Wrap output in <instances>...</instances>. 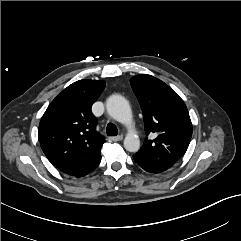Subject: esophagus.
<instances>
[{"instance_id": "34e87169", "label": "esophagus", "mask_w": 241, "mask_h": 241, "mask_svg": "<svg viewBox=\"0 0 241 241\" xmlns=\"http://www.w3.org/2000/svg\"><path fill=\"white\" fill-rule=\"evenodd\" d=\"M112 141H121L123 139V135H118L110 138Z\"/></svg>"}]
</instances>
